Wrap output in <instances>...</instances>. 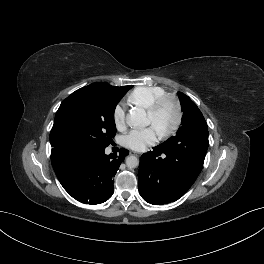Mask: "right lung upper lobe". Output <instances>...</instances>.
I'll use <instances>...</instances> for the list:
<instances>
[{
  "label": "right lung upper lobe",
  "instance_id": "right-lung-upper-lobe-1",
  "mask_svg": "<svg viewBox=\"0 0 264 264\" xmlns=\"http://www.w3.org/2000/svg\"><path fill=\"white\" fill-rule=\"evenodd\" d=\"M122 87L127 88V87H129V86H122Z\"/></svg>",
  "mask_w": 264,
  "mask_h": 264
}]
</instances>
